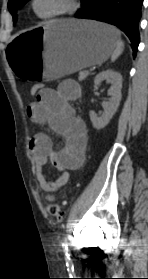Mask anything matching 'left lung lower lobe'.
<instances>
[{"mask_svg": "<svg viewBox=\"0 0 148 279\" xmlns=\"http://www.w3.org/2000/svg\"><path fill=\"white\" fill-rule=\"evenodd\" d=\"M83 8L74 17L94 19L120 28L132 43L136 56L139 36V21L143 0H81Z\"/></svg>", "mask_w": 148, "mask_h": 279, "instance_id": "0a47b994", "label": "left lung lower lobe"}]
</instances>
